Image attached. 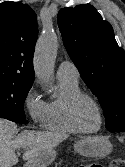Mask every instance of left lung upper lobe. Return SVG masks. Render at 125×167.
Segmentation results:
<instances>
[{"label":"left lung upper lobe","instance_id":"left-lung-upper-lobe-1","mask_svg":"<svg viewBox=\"0 0 125 167\" xmlns=\"http://www.w3.org/2000/svg\"><path fill=\"white\" fill-rule=\"evenodd\" d=\"M58 26L82 79L102 104L106 128L125 131V52L109 22L89 4L63 8Z\"/></svg>","mask_w":125,"mask_h":167}]
</instances>
